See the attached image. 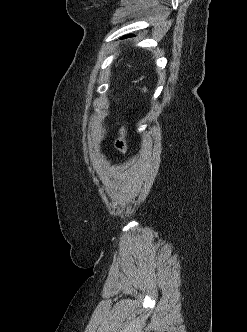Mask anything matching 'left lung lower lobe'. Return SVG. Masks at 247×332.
<instances>
[{
	"label": "left lung lower lobe",
	"mask_w": 247,
	"mask_h": 332,
	"mask_svg": "<svg viewBox=\"0 0 247 332\" xmlns=\"http://www.w3.org/2000/svg\"><path fill=\"white\" fill-rule=\"evenodd\" d=\"M132 35H129V36H125V37H123V38H127V37H131Z\"/></svg>",
	"instance_id": "0a47b994"
}]
</instances>
